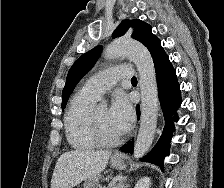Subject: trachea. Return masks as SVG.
Segmentation results:
<instances>
[{"label":"trachea","mask_w":224,"mask_h":188,"mask_svg":"<svg viewBox=\"0 0 224 188\" xmlns=\"http://www.w3.org/2000/svg\"><path fill=\"white\" fill-rule=\"evenodd\" d=\"M131 82H137V78L136 77H132Z\"/></svg>","instance_id":"obj_1"}]
</instances>
